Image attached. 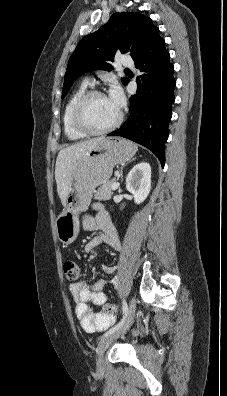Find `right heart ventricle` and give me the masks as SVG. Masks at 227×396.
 <instances>
[{
    "instance_id": "e07e8e85",
    "label": "right heart ventricle",
    "mask_w": 227,
    "mask_h": 396,
    "mask_svg": "<svg viewBox=\"0 0 227 396\" xmlns=\"http://www.w3.org/2000/svg\"><path fill=\"white\" fill-rule=\"evenodd\" d=\"M87 87L88 86L86 83H82L71 94L63 110V115H62L63 130L66 137L72 141L81 140L87 136V134L83 133L75 126L73 121V111L75 104L78 101V99L87 91Z\"/></svg>"
}]
</instances>
